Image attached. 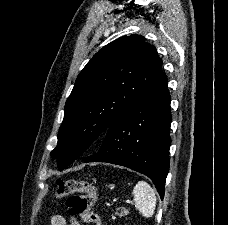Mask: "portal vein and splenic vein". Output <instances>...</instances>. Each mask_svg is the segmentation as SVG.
Returning <instances> with one entry per match:
<instances>
[{"label":"portal vein and splenic vein","mask_w":228,"mask_h":225,"mask_svg":"<svg viewBox=\"0 0 228 225\" xmlns=\"http://www.w3.org/2000/svg\"><path fill=\"white\" fill-rule=\"evenodd\" d=\"M120 197H114V200H111V202H105V207H111L112 205H116L117 202H120ZM132 200H126V205H132Z\"/></svg>","instance_id":"18ae733b"}]
</instances>
